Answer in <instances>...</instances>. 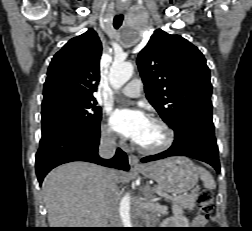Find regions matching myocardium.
Returning a JSON list of instances; mask_svg holds the SVG:
<instances>
[{
	"label": "myocardium",
	"instance_id": "myocardium-1",
	"mask_svg": "<svg viewBox=\"0 0 252 231\" xmlns=\"http://www.w3.org/2000/svg\"><path fill=\"white\" fill-rule=\"evenodd\" d=\"M150 121H153L154 123L158 124L165 133V140L164 142L157 146V147H144L136 142L135 146L136 148L145 154H158L166 151L169 149L175 140V132L171 128V126L162 118L160 117H152Z\"/></svg>",
	"mask_w": 252,
	"mask_h": 231
}]
</instances>
